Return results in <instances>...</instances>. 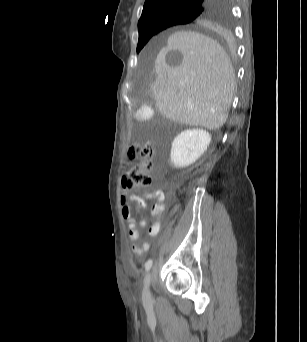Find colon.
Listing matches in <instances>:
<instances>
[{
    "mask_svg": "<svg viewBox=\"0 0 307 342\" xmlns=\"http://www.w3.org/2000/svg\"><path fill=\"white\" fill-rule=\"evenodd\" d=\"M154 153L155 146L151 141H145L140 146L130 149L128 155L129 160L139 158V161L136 165L129 167L121 177V186L123 189H135L152 183V160ZM122 203L125 205L124 212L126 215H130V210L128 209L130 198L125 196L122 199Z\"/></svg>",
    "mask_w": 307,
    "mask_h": 342,
    "instance_id": "colon-1",
    "label": "colon"
}]
</instances>
